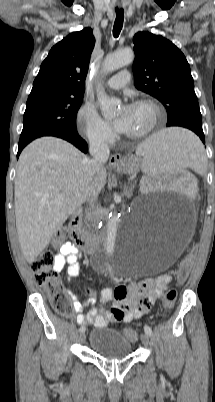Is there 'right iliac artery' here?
Instances as JSON below:
<instances>
[{
  "mask_svg": "<svg viewBox=\"0 0 215 402\" xmlns=\"http://www.w3.org/2000/svg\"><path fill=\"white\" fill-rule=\"evenodd\" d=\"M85 327L84 326H82V327H80V329H79V331L82 333V332H85Z\"/></svg>",
  "mask_w": 215,
  "mask_h": 402,
  "instance_id": "82829eb1",
  "label": "right iliac artery"
}]
</instances>
